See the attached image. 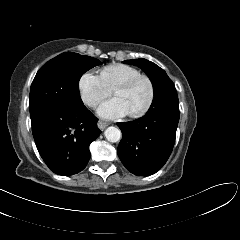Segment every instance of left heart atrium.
Here are the masks:
<instances>
[{"label":"left heart atrium","instance_id":"1","mask_svg":"<svg viewBox=\"0 0 240 240\" xmlns=\"http://www.w3.org/2000/svg\"><path fill=\"white\" fill-rule=\"evenodd\" d=\"M97 113L105 119H118L131 113L127 102L121 97H113L102 103Z\"/></svg>","mask_w":240,"mask_h":240}]
</instances>
